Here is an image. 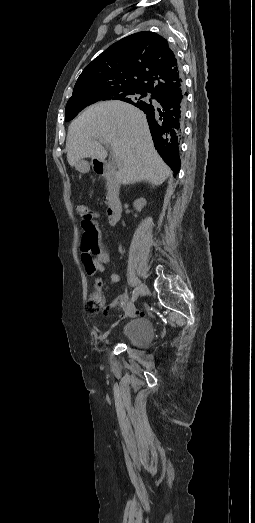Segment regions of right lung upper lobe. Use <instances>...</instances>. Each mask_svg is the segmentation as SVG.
<instances>
[{
  "instance_id": "right-lung-upper-lobe-1",
  "label": "right lung upper lobe",
  "mask_w": 255,
  "mask_h": 523,
  "mask_svg": "<svg viewBox=\"0 0 255 523\" xmlns=\"http://www.w3.org/2000/svg\"><path fill=\"white\" fill-rule=\"evenodd\" d=\"M126 92L150 93L154 101H132L147 116L150 133L161 157L176 174L180 166L179 144L186 108L182 71L166 39L153 32H139L111 45L86 66L79 76L67 105L91 103ZM178 97L177 127L169 143L159 139L153 112L160 102Z\"/></svg>"
}]
</instances>
